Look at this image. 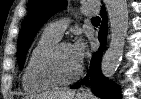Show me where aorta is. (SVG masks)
Instances as JSON below:
<instances>
[{
    "label": "aorta",
    "mask_w": 141,
    "mask_h": 99,
    "mask_svg": "<svg viewBox=\"0 0 141 99\" xmlns=\"http://www.w3.org/2000/svg\"><path fill=\"white\" fill-rule=\"evenodd\" d=\"M111 27V41L102 62V74L111 78L117 71L124 51L128 30L127 0H105Z\"/></svg>",
    "instance_id": "aorta-1"
}]
</instances>
